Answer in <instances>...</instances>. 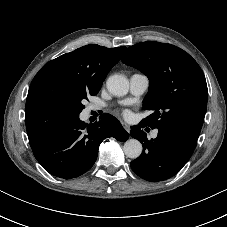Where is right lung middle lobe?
<instances>
[{
	"label": "right lung middle lobe",
	"instance_id": "obj_1",
	"mask_svg": "<svg viewBox=\"0 0 227 227\" xmlns=\"http://www.w3.org/2000/svg\"><path fill=\"white\" fill-rule=\"evenodd\" d=\"M97 93H86L80 92L76 95L73 106V117L74 119L79 117L80 112L83 110L84 105L82 104L84 99H87L88 95H96Z\"/></svg>",
	"mask_w": 227,
	"mask_h": 227
}]
</instances>
